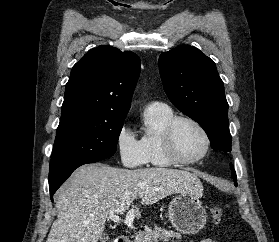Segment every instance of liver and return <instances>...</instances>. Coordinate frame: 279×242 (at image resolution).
I'll use <instances>...</instances> for the list:
<instances>
[{
    "label": "liver",
    "instance_id": "liver-1",
    "mask_svg": "<svg viewBox=\"0 0 279 242\" xmlns=\"http://www.w3.org/2000/svg\"><path fill=\"white\" fill-rule=\"evenodd\" d=\"M203 186L188 171L168 168L128 170L103 164L78 168L55 194L58 219L46 242H97L110 213L125 212L138 197L152 205L175 193L201 196ZM134 214L141 217L138 206Z\"/></svg>",
    "mask_w": 279,
    "mask_h": 242
}]
</instances>
